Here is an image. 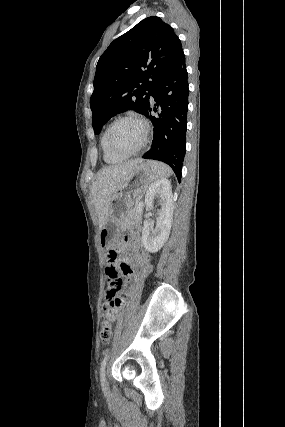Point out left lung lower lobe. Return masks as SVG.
<instances>
[{
	"label": "left lung lower lobe",
	"mask_w": 285,
	"mask_h": 427,
	"mask_svg": "<svg viewBox=\"0 0 285 427\" xmlns=\"http://www.w3.org/2000/svg\"><path fill=\"white\" fill-rule=\"evenodd\" d=\"M188 81L183 50L166 74L155 86L152 97L156 102L152 116L151 101L144 113L154 126L152 146L142 158L162 161L175 172L181 181V169L186 152L188 112Z\"/></svg>",
	"instance_id": "0a47b994"
}]
</instances>
